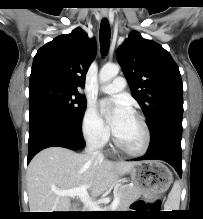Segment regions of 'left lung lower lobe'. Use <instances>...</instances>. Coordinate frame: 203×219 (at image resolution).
Returning a JSON list of instances; mask_svg holds the SVG:
<instances>
[{
  "instance_id": "1",
  "label": "left lung lower lobe",
  "mask_w": 203,
  "mask_h": 219,
  "mask_svg": "<svg viewBox=\"0 0 203 219\" xmlns=\"http://www.w3.org/2000/svg\"><path fill=\"white\" fill-rule=\"evenodd\" d=\"M181 138L182 119L171 120L151 134V143L146 155L136 160H163L181 177Z\"/></svg>"
}]
</instances>
